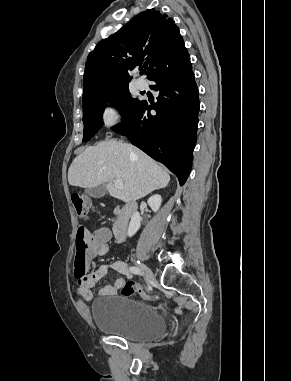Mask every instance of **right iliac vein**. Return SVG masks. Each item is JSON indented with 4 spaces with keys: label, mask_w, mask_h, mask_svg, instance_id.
Returning <instances> with one entry per match:
<instances>
[{
    "label": "right iliac vein",
    "mask_w": 291,
    "mask_h": 381,
    "mask_svg": "<svg viewBox=\"0 0 291 381\" xmlns=\"http://www.w3.org/2000/svg\"><path fill=\"white\" fill-rule=\"evenodd\" d=\"M137 266L142 270V272L146 275L149 281H153L155 279L153 272L150 270L148 266L141 262H138Z\"/></svg>",
    "instance_id": "obj_1"
}]
</instances>
